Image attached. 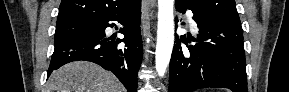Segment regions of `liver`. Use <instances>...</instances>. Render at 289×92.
<instances>
[{"instance_id": "obj_1", "label": "liver", "mask_w": 289, "mask_h": 92, "mask_svg": "<svg viewBox=\"0 0 289 92\" xmlns=\"http://www.w3.org/2000/svg\"><path fill=\"white\" fill-rule=\"evenodd\" d=\"M47 92H125V88L113 73L94 63L76 61L50 75Z\"/></svg>"}]
</instances>
